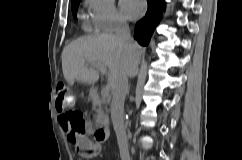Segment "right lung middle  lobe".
Segmentation results:
<instances>
[{"mask_svg": "<svg viewBox=\"0 0 242 160\" xmlns=\"http://www.w3.org/2000/svg\"><path fill=\"white\" fill-rule=\"evenodd\" d=\"M80 1L81 0H73L72 1V12H73L74 16L76 15V11H77V8L79 6Z\"/></svg>", "mask_w": 242, "mask_h": 160, "instance_id": "1", "label": "right lung middle lobe"}]
</instances>
